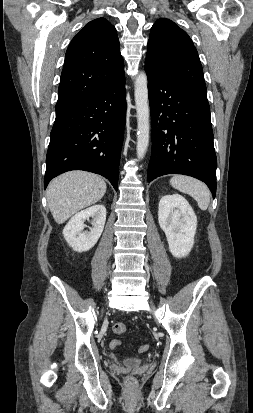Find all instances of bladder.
I'll return each mask as SVG.
<instances>
[{
    "label": "bladder",
    "instance_id": "bladder-1",
    "mask_svg": "<svg viewBox=\"0 0 253 413\" xmlns=\"http://www.w3.org/2000/svg\"><path fill=\"white\" fill-rule=\"evenodd\" d=\"M123 362L127 366H138L143 362V359L140 357H128Z\"/></svg>",
    "mask_w": 253,
    "mask_h": 413
}]
</instances>
